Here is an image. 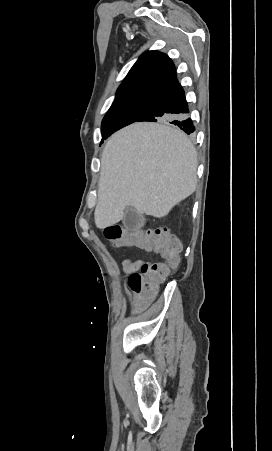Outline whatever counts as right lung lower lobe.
Instances as JSON below:
<instances>
[{
	"label": "right lung lower lobe",
	"mask_w": 272,
	"mask_h": 451,
	"mask_svg": "<svg viewBox=\"0 0 272 451\" xmlns=\"http://www.w3.org/2000/svg\"><path fill=\"white\" fill-rule=\"evenodd\" d=\"M189 113L184 90L175 78L151 98L148 110L135 122L165 121L190 134L195 127Z\"/></svg>",
	"instance_id": "98d812e1"
}]
</instances>
